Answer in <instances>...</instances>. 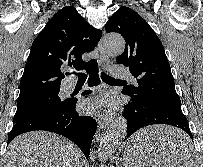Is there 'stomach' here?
<instances>
[{
  "instance_id": "stomach-1",
  "label": "stomach",
  "mask_w": 203,
  "mask_h": 167,
  "mask_svg": "<svg viewBox=\"0 0 203 167\" xmlns=\"http://www.w3.org/2000/svg\"><path fill=\"white\" fill-rule=\"evenodd\" d=\"M130 150L131 149L129 147L126 148V152H125V155H124V162H123L125 167H129V165H130V163L128 162L129 157L131 155V151ZM150 152L152 154H154V155H157L159 153L158 149H156V148L152 149Z\"/></svg>"
}]
</instances>
